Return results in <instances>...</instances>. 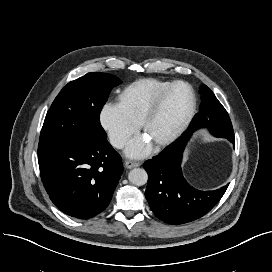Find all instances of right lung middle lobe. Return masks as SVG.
I'll return each instance as SVG.
<instances>
[{
  "label": "right lung middle lobe",
  "mask_w": 272,
  "mask_h": 272,
  "mask_svg": "<svg viewBox=\"0 0 272 272\" xmlns=\"http://www.w3.org/2000/svg\"><path fill=\"white\" fill-rule=\"evenodd\" d=\"M120 83L116 76L98 72L69 82L53 101L39 142L105 140L107 135L100 124V112L112 88Z\"/></svg>",
  "instance_id": "dd1d6c3e"
}]
</instances>
